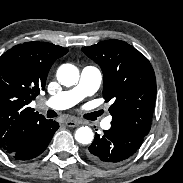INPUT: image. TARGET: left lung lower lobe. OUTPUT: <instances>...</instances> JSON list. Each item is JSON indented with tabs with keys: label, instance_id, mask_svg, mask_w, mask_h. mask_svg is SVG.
<instances>
[{
	"label": "left lung lower lobe",
	"instance_id": "0a47b994",
	"mask_svg": "<svg viewBox=\"0 0 183 183\" xmlns=\"http://www.w3.org/2000/svg\"><path fill=\"white\" fill-rule=\"evenodd\" d=\"M103 132L102 136L95 134L86 152L90 160L102 166H112L132 156L145 137L114 124Z\"/></svg>",
	"mask_w": 183,
	"mask_h": 183
}]
</instances>
